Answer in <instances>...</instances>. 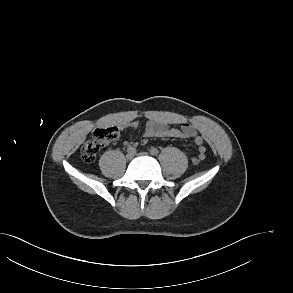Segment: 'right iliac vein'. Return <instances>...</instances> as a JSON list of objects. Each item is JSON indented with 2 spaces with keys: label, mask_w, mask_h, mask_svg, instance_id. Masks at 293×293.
<instances>
[{
  "label": "right iliac vein",
  "mask_w": 293,
  "mask_h": 293,
  "mask_svg": "<svg viewBox=\"0 0 293 293\" xmlns=\"http://www.w3.org/2000/svg\"><path fill=\"white\" fill-rule=\"evenodd\" d=\"M134 154H135V153H128V154L126 155V158H127L128 160H131V159L134 157Z\"/></svg>",
  "instance_id": "1"
}]
</instances>
